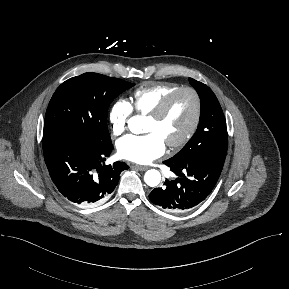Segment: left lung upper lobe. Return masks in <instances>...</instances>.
Wrapping results in <instances>:
<instances>
[{"instance_id":"obj_1","label":"left lung upper lobe","mask_w":289,"mask_h":289,"mask_svg":"<svg viewBox=\"0 0 289 289\" xmlns=\"http://www.w3.org/2000/svg\"><path fill=\"white\" fill-rule=\"evenodd\" d=\"M201 102L200 121L197 131L188 143L170 160L189 161L201 156L226 157L228 135L222 108L205 84L189 78Z\"/></svg>"}]
</instances>
